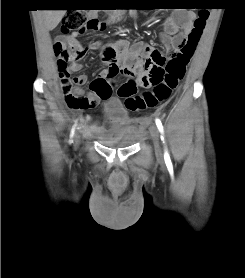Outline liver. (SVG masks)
<instances>
[{"label": "liver", "instance_id": "liver-1", "mask_svg": "<svg viewBox=\"0 0 245 278\" xmlns=\"http://www.w3.org/2000/svg\"><path fill=\"white\" fill-rule=\"evenodd\" d=\"M66 10H43V20L48 30H53L62 20Z\"/></svg>", "mask_w": 245, "mask_h": 278}]
</instances>
